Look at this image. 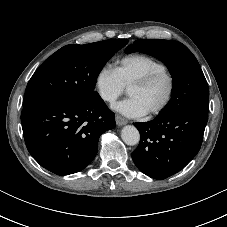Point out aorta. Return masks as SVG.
<instances>
[{"label":"aorta","instance_id":"762f6f07","mask_svg":"<svg viewBox=\"0 0 227 227\" xmlns=\"http://www.w3.org/2000/svg\"><path fill=\"white\" fill-rule=\"evenodd\" d=\"M121 138L125 144L133 146L139 143L140 134L136 127L127 125L121 131Z\"/></svg>","mask_w":227,"mask_h":227}]
</instances>
